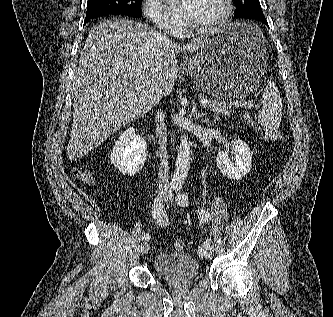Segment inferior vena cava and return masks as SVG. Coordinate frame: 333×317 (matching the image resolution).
Masks as SVG:
<instances>
[{"label":"inferior vena cava","mask_w":333,"mask_h":317,"mask_svg":"<svg viewBox=\"0 0 333 317\" xmlns=\"http://www.w3.org/2000/svg\"><path fill=\"white\" fill-rule=\"evenodd\" d=\"M156 136L158 138L160 150L159 187L169 186V155L167 152V126L165 123V113L157 111L155 116Z\"/></svg>","instance_id":"602c4592"}]
</instances>
